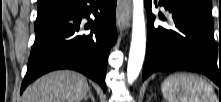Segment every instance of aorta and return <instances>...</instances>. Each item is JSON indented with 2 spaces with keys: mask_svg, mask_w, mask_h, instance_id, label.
Returning a JSON list of instances; mask_svg holds the SVG:
<instances>
[{
  "mask_svg": "<svg viewBox=\"0 0 221 102\" xmlns=\"http://www.w3.org/2000/svg\"><path fill=\"white\" fill-rule=\"evenodd\" d=\"M146 29L143 0H133L132 40L127 65V79L131 84L138 77L145 56Z\"/></svg>",
  "mask_w": 221,
  "mask_h": 102,
  "instance_id": "762f6f07",
  "label": "aorta"
}]
</instances>
